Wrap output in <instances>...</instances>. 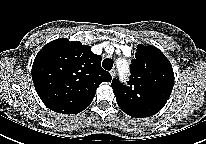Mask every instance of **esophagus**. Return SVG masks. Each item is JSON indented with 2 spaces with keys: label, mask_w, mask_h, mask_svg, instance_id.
I'll return each instance as SVG.
<instances>
[{
  "label": "esophagus",
  "mask_w": 206,
  "mask_h": 144,
  "mask_svg": "<svg viewBox=\"0 0 206 144\" xmlns=\"http://www.w3.org/2000/svg\"><path fill=\"white\" fill-rule=\"evenodd\" d=\"M110 74H111V77L114 78L116 76V70L113 68L111 71H110Z\"/></svg>",
  "instance_id": "obj_1"
}]
</instances>
